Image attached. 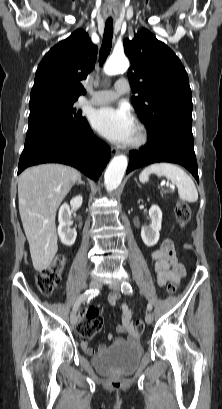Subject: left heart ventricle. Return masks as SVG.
<instances>
[{"instance_id":"b2bd125f","label":"left heart ventricle","mask_w":222,"mask_h":409,"mask_svg":"<svg viewBox=\"0 0 222 409\" xmlns=\"http://www.w3.org/2000/svg\"><path fill=\"white\" fill-rule=\"evenodd\" d=\"M135 135H136V130H135V133H134V136H133V138L135 137Z\"/></svg>"}]
</instances>
